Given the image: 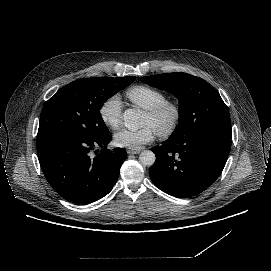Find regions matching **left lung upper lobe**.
Segmentation results:
<instances>
[{
    "label": "left lung upper lobe",
    "instance_id": "obj_1",
    "mask_svg": "<svg viewBox=\"0 0 271 271\" xmlns=\"http://www.w3.org/2000/svg\"><path fill=\"white\" fill-rule=\"evenodd\" d=\"M141 81L172 93L180 101V121L170 137L203 128L231 129L227 106L216 89L202 78L177 72L146 76Z\"/></svg>",
    "mask_w": 271,
    "mask_h": 271
}]
</instances>
